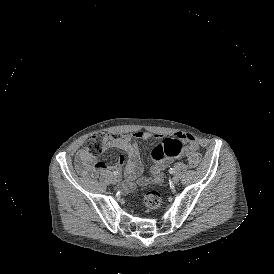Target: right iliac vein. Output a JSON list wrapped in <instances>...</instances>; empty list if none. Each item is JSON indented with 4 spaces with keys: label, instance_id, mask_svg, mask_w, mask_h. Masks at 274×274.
Listing matches in <instances>:
<instances>
[{
    "label": "right iliac vein",
    "instance_id": "obj_1",
    "mask_svg": "<svg viewBox=\"0 0 274 274\" xmlns=\"http://www.w3.org/2000/svg\"><path fill=\"white\" fill-rule=\"evenodd\" d=\"M117 183H118V180H117L116 177H114V178L112 179V184L116 185Z\"/></svg>",
    "mask_w": 274,
    "mask_h": 274
}]
</instances>
